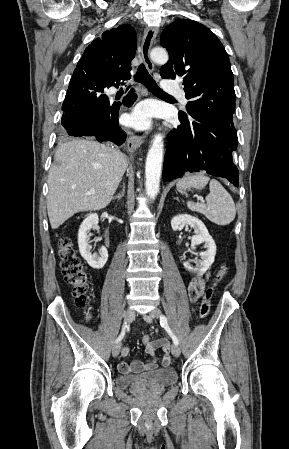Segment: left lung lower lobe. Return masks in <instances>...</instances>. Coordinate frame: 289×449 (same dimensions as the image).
<instances>
[{
	"mask_svg": "<svg viewBox=\"0 0 289 449\" xmlns=\"http://www.w3.org/2000/svg\"><path fill=\"white\" fill-rule=\"evenodd\" d=\"M181 125L168 137L163 181L182 177L185 172L206 171L226 178L238 187L239 172L234 164L238 139L235 128L206 118L179 117Z\"/></svg>",
	"mask_w": 289,
	"mask_h": 449,
	"instance_id": "obj_1",
	"label": "left lung lower lobe"
}]
</instances>
